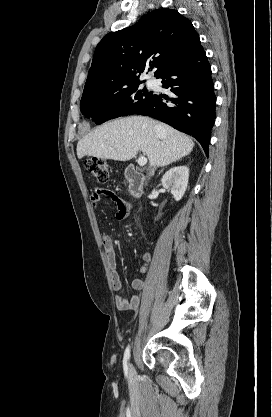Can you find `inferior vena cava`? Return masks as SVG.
<instances>
[{
	"label": "inferior vena cava",
	"mask_w": 272,
	"mask_h": 417,
	"mask_svg": "<svg viewBox=\"0 0 272 417\" xmlns=\"http://www.w3.org/2000/svg\"><path fill=\"white\" fill-rule=\"evenodd\" d=\"M152 175H154V169L150 170L149 176H152Z\"/></svg>",
	"instance_id": "1"
}]
</instances>
